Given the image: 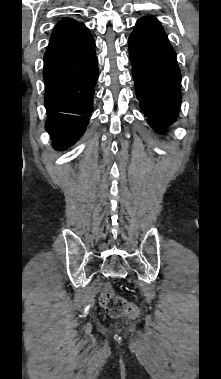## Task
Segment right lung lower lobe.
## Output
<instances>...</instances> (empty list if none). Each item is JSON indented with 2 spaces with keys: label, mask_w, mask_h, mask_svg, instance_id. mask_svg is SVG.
<instances>
[{
  "label": "right lung lower lobe",
  "mask_w": 221,
  "mask_h": 379,
  "mask_svg": "<svg viewBox=\"0 0 221 379\" xmlns=\"http://www.w3.org/2000/svg\"><path fill=\"white\" fill-rule=\"evenodd\" d=\"M95 41L83 24L51 39L44 55L46 130L64 149L85 131L93 111L98 63Z\"/></svg>",
  "instance_id": "right-lung-lower-lobe-1"
}]
</instances>
